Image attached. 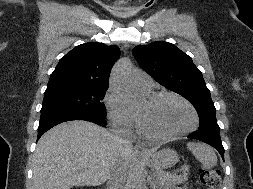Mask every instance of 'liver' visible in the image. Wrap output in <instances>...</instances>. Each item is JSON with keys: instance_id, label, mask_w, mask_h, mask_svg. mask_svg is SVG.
Masks as SVG:
<instances>
[{"instance_id": "1", "label": "liver", "mask_w": 253, "mask_h": 189, "mask_svg": "<svg viewBox=\"0 0 253 189\" xmlns=\"http://www.w3.org/2000/svg\"><path fill=\"white\" fill-rule=\"evenodd\" d=\"M154 152V151H153ZM134 159L118 148L111 134L88 121H68L46 132L33 156V189H70L98 186L111 167Z\"/></svg>"}]
</instances>
